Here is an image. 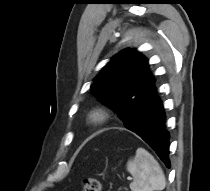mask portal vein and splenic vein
Returning a JSON list of instances; mask_svg holds the SVG:
<instances>
[{
  "label": "portal vein and splenic vein",
  "instance_id": "18ae733b",
  "mask_svg": "<svg viewBox=\"0 0 210 191\" xmlns=\"http://www.w3.org/2000/svg\"><path fill=\"white\" fill-rule=\"evenodd\" d=\"M127 179H128V180H131L132 178H131V177H128Z\"/></svg>",
  "mask_w": 210,
  "mask_h": 191
}]
</instances>
